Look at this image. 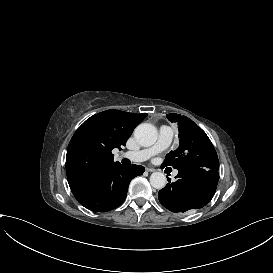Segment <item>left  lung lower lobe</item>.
I'll list each match as a JSON object with an SVG mask.
<instances>
[{
    "mask_svg": "<svg viewBox=\"0 0 273 273\" xmlns=\"http://www.w3.org/2000/svg\"><path fill=\"white\" fill-rule=\"evenodd\" d=\"M178 171L175 177L177 181L168 183L159 191L160 203L175 213L204 207L216 191L218 171L204 168H186Z\"/></svg>",
    "mask_w": 273,
    "mask_h": 273,
    "instance_id": "left-lung-lower-lobe-1",
    "label": "left lung lower lobe"
}]
</instances>
